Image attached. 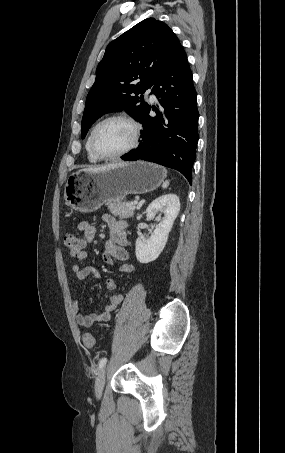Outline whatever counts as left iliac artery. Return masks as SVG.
<instances>
[{"label":"left iliac artery","mask_w":285,"mask_h":453,"mask_svg":"<svg viewBox=\"0 0 285 453\" xmlns=\"http://www.w3.org/2000/svg\"><path fill=\"white\" fill-rule=\"evenodd\" d=\"M107 362V358H102L100 361H99V365H98V369H101L102 367H104V365L106 364Z\"/></svg>","instance_id":"44dca946"}]
</instances>
